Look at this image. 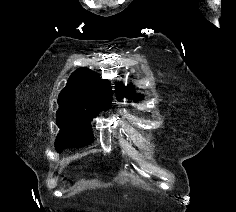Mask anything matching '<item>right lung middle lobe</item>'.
Instances as JSON below:
<instances>
[{
  "mask_svg": "<svg viewBox=\"0 0 236 212\" xmlns=\"http://www.w3.org/2000/svg\"><path fill=\"white\" fill-rule=\"evenodd\" d=\"M111 101L103 102L99 108L93 110L59 108L57 111V126L60 132L56 137L57 152L65 148H79L89 145L94 137L90 128V121L101 110L110 108Z\"/></svg>",
  "mask_w": 236,
  "mask_h": 212,
  "instance_id": "right-lung-middle-lobe-1",
  "label": "right lung middle lobe"
}]
</instances>
